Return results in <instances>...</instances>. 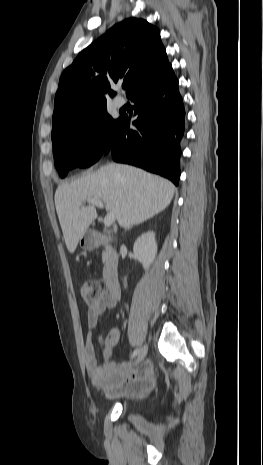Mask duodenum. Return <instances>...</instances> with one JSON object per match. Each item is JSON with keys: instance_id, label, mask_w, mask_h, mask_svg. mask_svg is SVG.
I'll return each mask as SVG.
<instances>
[{"instance_id": "410a0bca", "label": "duodenum", "mask_w": 263, "mask_h": 465, "mask_svg": "<svg viewBox=\"0 0 263 465\" xmlns=\"http://www.w3.org/2000/svg\"><path fill=\"white\" fill-rule=\"evenodd\" d=\"M112 242V237L107 235H97L89 238V247H98L100 245H107ZM105 280L108 285L109 291L112 295H120V286L118 279V260L116 255L111 252L105 268Z\"/></svg>"}]
</instances>
